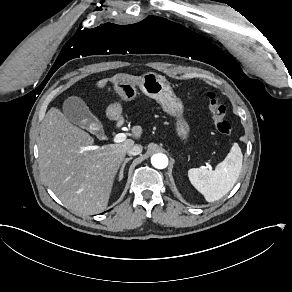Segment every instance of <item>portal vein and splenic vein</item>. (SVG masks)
Masks as SVG:
<instances>
[{
  "mask_svg": "<svg viewBox=\"0 0 292 292\" xmlns=\"http://www.w3.org/2000/svg\"><path fill=\"white\" fill-rule=\"evenodd\" d=\"M124 140H125V134L123 133H118L113 138L114 143H120V142H123ZM93 148H96V146H94Z\"/></svg>",
  "mask_w": 292,
  "mask_h": 292,
  "instance_id": "1",
  "label": "portal vein and splenic vein"
}]
</instances>
